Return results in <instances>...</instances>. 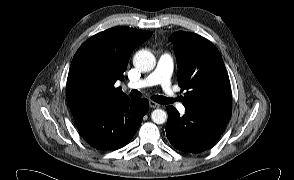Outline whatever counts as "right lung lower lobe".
Returning <instances> with one entry per match:
<instances>
[{
  "mask_svg": "<svg viewBox=\"0 0 294 180\" xmlns=\"http://www.w3.org/2000/svg\"><path fill=\"white\" fill-rule=\"evenodd\" d=\"M149 107L147 99H120L102 108L75 117V124L92 147L113 150L133 138Z\"/></svg>",
  "mask_w": 294,
  "mask_h": 180,
  "instance_id": "right-lung-lower-lobe-1",
  "label": "right lung lower lobe"
}]
</instances>
